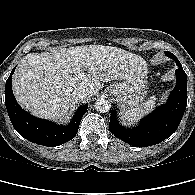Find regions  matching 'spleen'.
I'll return each mask as SVG.
<instances>
[{"instance_id": "3e777b00", "label": "spleen", "mask_w": 195, "mask_h": 195, "mask_svg": "<svg viewBox=\"0 0 195 195\" xmlns=\"http://www.w3.org/2000/svg\"><path fill=\"white\" fill-rule=\"evenodd\" d=\"M157 98L156 96L150 97L147 101L138 105L135 108H131L124 113V119L130 123L138 121L142 116L148 114L155 107Z\"/></svg>"}]
</instances>
